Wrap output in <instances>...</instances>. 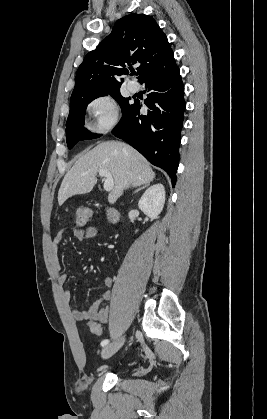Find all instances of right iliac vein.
<instances>
[{
  "label": "right iliac vein",
  "instance_id": "obj_1",
  "mask_svg": "<svg viewBox=\"0 0 267 419\" xmlns=\"http://www.w3.org/2000/svg\"><path fill=\"white\" fill-rule=\"evenodd\" d=\"M125 338L118 339L117 341L105 346L101 351V356L103 358H109L115 354L118 349L124 344Z\"/></svg>",
  "mask_w": 267,
  "mask_h": 419
}]
</instances>
